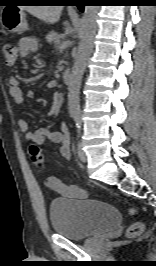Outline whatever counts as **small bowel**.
Segmentation results:
<instances>
[{
  "label": "small bowel",
  "instance_id": "1",
  "mask_svg": "<svg viewBox=\"0 0 156 266\" xmlns=\"http://www.w3.org/2000/svg\"><path fill=\"white\" fill-rule=\"evenodd\" d=\"M37 49V42L33 38H22L18 43L19 54L22 57L35 53ZM9 95L15 105H21L24 101L20 81L16 76H12L9 80ZM17 125L25 140L37 146L44 144L47 140L58 143L61 145V156L64 159L70 158V135L66 124L63 123L59 131H51L47 128L31 130L25 119L18 118ZM46 186L65 198L84 199L87 197V193L84 189L76 185H66L55 177L48 178L46 180Z\"/></svg>",
  "mask_w": 156,
  "mask_h": 266
}]
</instances>
